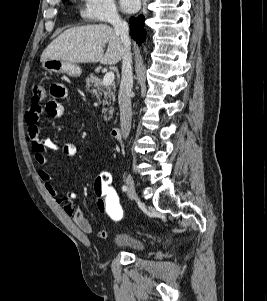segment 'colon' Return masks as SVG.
I'll list each match as a JSON object with an SVG mask.
<instances>
[{"label":"colon","instance_id":"1","mask_svg":"<svg viewBox=\"0 0 267 301\" xmlns=\"http://www.w3.org/2000/svg\"><path fill=\"white\" fill-rule=\"evenodd\" d=\"M45 97L44 87L36 85L33 88V103H40ZM95 199L100 203L104 214L112 221L123 220L125 211L119 194L113 186L112 177L108 172H101L93 184Z\"/></svg>","mask_w":267,"mask_h":301}]
</instances>
